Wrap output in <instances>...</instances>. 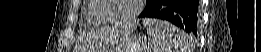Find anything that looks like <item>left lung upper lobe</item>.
Returning a JSON list of instances; mask_svg holds the SVG:
<instances>
[{
  "label": "left lung upper lobe",
  "mask_w": 261,
  "mask_h": 52,
  "mask_svg": "<svg viewBox=\"0 0 261 52\" xmlns=\"http://www.w3.org/2000/svg\"><path fill=\"white\" fill-rule=\"evenodd\" d=\"M153 0H148L147 6L151 4Z\"/></svg>",
  "instance_id": "5c2ea615"
}]
</instances>
